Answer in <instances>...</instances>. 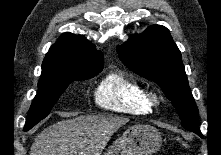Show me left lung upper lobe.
<instances>
[{
	"mask_svg": "<svg viewBox=\"0 0 221 155\" xmlns=\"http://www.w3.org/2000/svg\"><path fill=\"white\" fill-rule=\"evenodd\" d=\"M117 52L130 70L160 86L176 108L185 129L195 133L200 131L198 109L188 85L181 53L166 27H148L118 46Z\"/></svg>",
	"mask_w": 221,
	"mask_h": 155,
	"instance_id": "1",
	"label": "left lung upper lobe"
}]
</instances>
